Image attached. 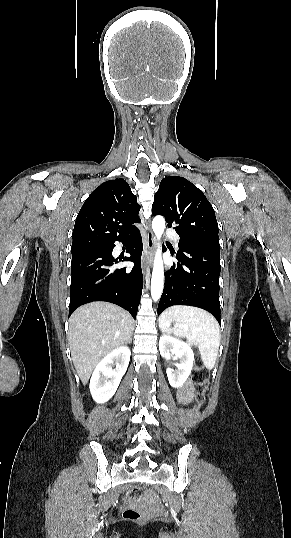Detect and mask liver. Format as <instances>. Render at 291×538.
Here are the masks:
<instances>
[{"instance_id":"6515ba94","label":"liver","mask_w":291,"mask_h":538,"mask_svg":"<svg viewBox=\"0 0 291 538\" xmlns=\"http://www.w3.org/2000/svg\"><path fill=\"white\" fill-rule=\"evenodd\" d=\"M133 330L132 316L107 302L86 304L71 315L68 341L72 361L83 385L105 355L128 343Z\"/></svg>"}]
</instances>
